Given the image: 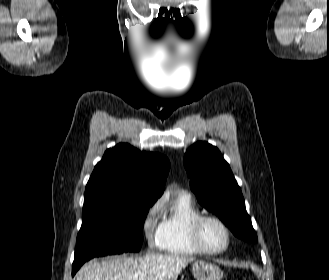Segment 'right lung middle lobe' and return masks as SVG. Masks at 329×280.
<instances>
[{
	"label": "right lung middle lobe",
	"instance_id": "obj_1",
	"mask_svg": "<svg viewBox=\"0 0 329 280\" xmlns=\"http://www.w3.org/2000/svg\"><path fill=\"white\" fill-rule=\"evenodd\" d=\"M156 200L117 198L91 205L84 210L72 275L94 257L138 252L143 242L144 220Z\"/></svg>",
	"mask_w": 329,
	"mask_h": 280
}]
</instances>
